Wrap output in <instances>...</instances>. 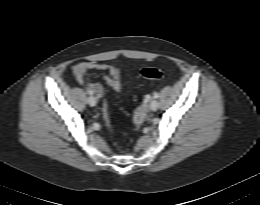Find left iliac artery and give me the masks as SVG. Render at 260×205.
Returning <instances> with one entry per match:
<instances>
[{"label": "left iliac artery", "mask_w": 260, "mask_h": 205, "mask_svg": "<svg viewBox=\"0 0 260 205\" xmlns=\"http://www.w3.org/2000/svg\"><path fill=\"white\" fill-rule=\"evenodd\" d=\"M159 97V93L158 92H155L154 93V98H158Z\"/></svg>", "instance_id": "1"}]
</instances>
